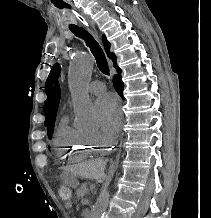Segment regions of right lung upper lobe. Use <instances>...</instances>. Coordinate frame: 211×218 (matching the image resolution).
I'll list each match as a JSON object with an SVG mask.
<instances>
[{
  "instance_id": "obj_1",
  "label": "right lung upper lobe",
  "mask_w": 211,
  "mask_h": 218,
  "mask_svg": "<svg viewBox=\"0 0 211 218\" xmlns=\"http://www.w3.org/2000/svg\"><path fill=\"white\" fill-rule=\"evenodd\" d=\"M103 44L106 53L108 56L112 59L113 63H116V56L113 53H110V43L107 41L106 37L103 36ZM59 100H60V87L59 84L57 83L55 85L53 97L51 100V108H50V118H49V124H48V136L53 134V128H54V122H55V117H56V112L57 108L59 105Z\"/></svg>"
}]
</instances>
